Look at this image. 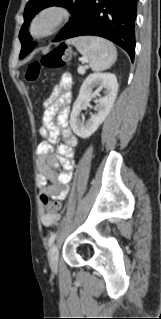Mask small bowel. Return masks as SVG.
<instances>
[{
	"label": "small bowel",
	"mask_w": 161,
	"mask_h": 319,
	"mask_svg": "<svg viewBox=\"0 0 161 319\" xmlns=\"http://www.w3.org/2000/svg\"><path fill=\"white\" fill-rule=\"evenodd\" d=\"M70 101V78L67 74H63L59 84L53 88L44 102L43 125L39 130L44 140L37 147L41 165L38 181L40 191L57 201L64 200L69 193L71 171L74 169L71 159L78 145V139L68 125ZM60 136L64 139V143L58 146L55 154L53 144ZM51 167L55 169L62 167L63 171L57 177ZM59 218L58 213L51 211H43L41 215L42 224L46 227L54 225Z\"/></svg>",
	"instance_id": "obj_1"
}]
</instances>
